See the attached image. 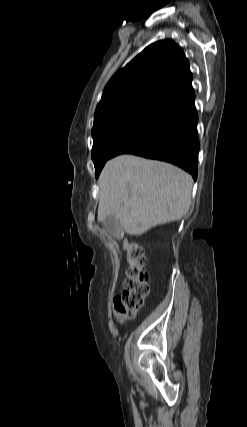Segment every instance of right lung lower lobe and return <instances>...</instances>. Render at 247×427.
Here are the masks:
<instances>
[{"label": "right lung lower lobe", "instance_id": "98d812e1", "mask_svg": "<svg viewBox=\"0 0 247 427\" xmlns=\"http://www.w3.org/2000/svg\"><path fill=\"white\" fill-rule=\"evenodd\" d=\"M193 88L159 105L114 150L172 163L197 178L200 143Z\"/></svg>", "mask_w": 247, "mask_h": 427}]
</instances>
